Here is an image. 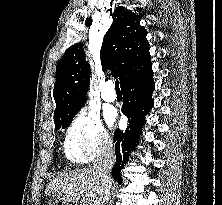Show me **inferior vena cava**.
<instances>
[{
    "instance_id": "1",
    "label": "inferior vena cava",
    "mask_w": 222,
    "mask_h": 205,
    "mask_svg": "<svg viewBox=\"0 0 222 205\" xmlns=\"http://www.w3.org/2000/svg\"><path fill=\"white\" fill-rule=\"evenodd\" d=\"M115 163V154L113 150L112 141L106 140L105 145L94 162V170L98 174L100 182L102 184L104 194H103V203L107 202L110 197L111 181H110V172Z\"/></svg>"
}]
</instances>
